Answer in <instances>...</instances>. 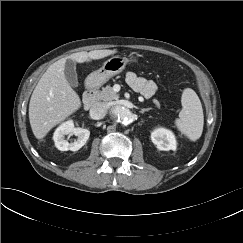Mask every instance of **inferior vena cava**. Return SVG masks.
I'll return each instance as SVG.
<instances>
[{
	"instance_id": "1",
	"label": "inferior vena cava",
	"mask_w": 243,
	"mask_h": 243,
	"mask_svg": "<svg viewBox=\"0 0 243 243\" xmlns=\"http://www.w3.org/2000/svg\"><path fill=\"white\" fill-rule=\"evenodd\" d=\"M107 113L104 103H95L90 109V116L93 119H102Z\"/></svg>"
}]
</instances>
